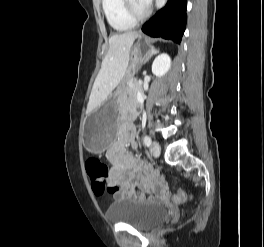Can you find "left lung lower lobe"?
I'll return each mask as SVG.
<instances>
[{"label":"left lung lower lobe","instance_id":"obj_1","mask_svg":"<svg viewBox=\"0 0 264 247\" xmlns=\"http://www.w3.org/2000/svg\"><path fill=\"white\" fill-rule=\"evenodd\" d=\"M187 0H168L141 30L151 37H162L180 43L186 27Z\"/></svg>","mask_w":264,"mask_h":247}]
</instances>
